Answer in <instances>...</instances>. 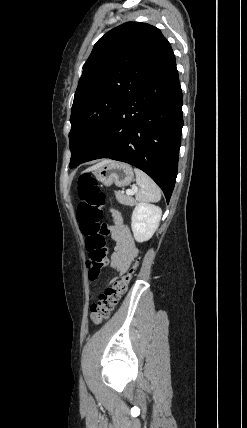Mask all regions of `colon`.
Segmentation results:
<instances>
[{
	"mask_svg": "<svg viewBox=\"0 0 247 428\" xmlns=\"http://www.w3.org/2000/svg\"><path fill=\"white\" fill-rule=\"evenodd\" d=\"M77 194L79 205L77 218L82 233L86 237L88 278H99L106 261L105 234L106 226L101 222L105 196L97 180L90 174H83L78 179ZM139 265L136 260L113 285L107 287L90 307L91 321L99 325L107 320L118 301L126 293L128 285Z\"/></svg>",
	"mask_w": 247,
	"mask_h": 428,
	"instance_id": "colon-1",
	"label": "colon"
}]
</instances>
